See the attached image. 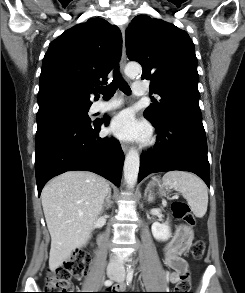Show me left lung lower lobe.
<instances>
[{"mask_svg": "<svg viewBox=\"0 0 245 293\" xmlns=\"http://www.w3.org/2000/svg\"><path fill=\"white\" fill-rule=\"evenodd\" d=\"M150 121L158 132L160 144L141 155L138 182L151 173L181 170L197 174L210 187L202 118L171 112L159 121Z\"/></svg>", "mask_w": 245, "mask_h": 293, "instance_id": "1", "label": "left lung lower lobe"}]
</instances>
